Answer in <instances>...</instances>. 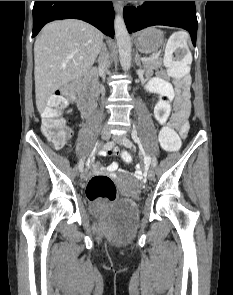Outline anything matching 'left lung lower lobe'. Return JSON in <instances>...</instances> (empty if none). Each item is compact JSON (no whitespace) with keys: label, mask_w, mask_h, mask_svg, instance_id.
<instances>
[{"label":"left lung lower lobe","mask_w":233,"mask_h":295,"mask_svg":"<svg viewBox=\"0 0 233 295\" xmlns=\"http://www.w3.org/2000/svg\"><path fill=\"white\" fill-rule=\"evenodd\" d=\"M125 24L129 33L153 25H167L186 29L196 46L197 17L194 1H146L142 6L125 7Z\"/></svg>","instance_id":"obj_1"}]
</instances>
